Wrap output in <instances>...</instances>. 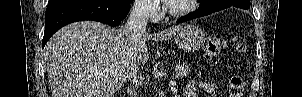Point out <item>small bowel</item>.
Instances as JSON below:
<instances>
[{"label": "small bowel", "mask_w": 302, "mask_h": 97, "mask_svg": "<svg viewBox=\"0 0 302 97\" xmlns=\"http://www.w3.org/2000/svg\"><path fill=\"white\" fill-rule=\"evenodd\" d=\"M198 86L206 92H215L216 91V86L211 82L200 81L198 83ZM184 92H185V97H196V94H195L194 87H193L192 83H190L186 86Z\"/></svg>", "instance_id": "1"}]
</instances>
